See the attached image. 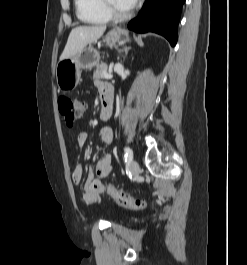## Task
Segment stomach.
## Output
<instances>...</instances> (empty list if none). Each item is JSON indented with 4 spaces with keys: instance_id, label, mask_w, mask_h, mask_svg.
I'll return each mask as SVG.
<instances>
[{
    "instance_id": "0dacf381",
    "label": "stomach",
    "mask_w": 247,
    "mask_h": 265,
    "mask_svg": "<svg viewBox=\"0 0 247 265\" xmlns=\"http://www.w3.org/2000/svg\"><path fill=\"white\" fill-rule=\"evenodd\" d=\"M124 34V30L114 29L105 36L104 42L113 47ZM99 62L100 53L91 45L84 47L71 58L60 60L55 70L58 88L63 92L73 90L80 82L81 70H90Z\"/></svg>"
}]
</instances>
